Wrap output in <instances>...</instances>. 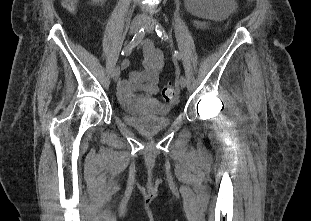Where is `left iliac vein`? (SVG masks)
<instances>
[{
	"instance_id": "left-iliac-vein-1",
	"label": "left iliac vein",
	"mask_w": 311,
	"mask_h": 221,
	"mask_svg": "<svg viewBox=\"0 0 311 221\" xmlns=\"http://www.w3.org/2000/svg\"><path fill=\"white\" fill-rule=\"evenodd\" d=\"M143 25H144V27L146 28V31H147L148 33H152V31H153V25H151L150 22L145 21ZM179 84H180V86H181L182 88L186 87L187 80H186V78H185L184 76H181V77L179 78Z\"/></svg>"
}]
</instances>
